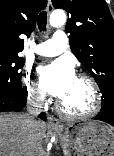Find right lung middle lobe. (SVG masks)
<instances>
[{"mask_svg": "<svg viewBox=\"0 0 114 156\" xmlns=\"http://www.w3.org/2000/svg\"><path fill=\"white\" fill-rule=\"evenodd\" d=\"M24 60L19 55H0V95L21 96V69Z\"/></svg>", "mask_w": 114, "mask_h": 156, "instance_id": "obj_1", "label": "right lung middle lobe"}]
</instances>
